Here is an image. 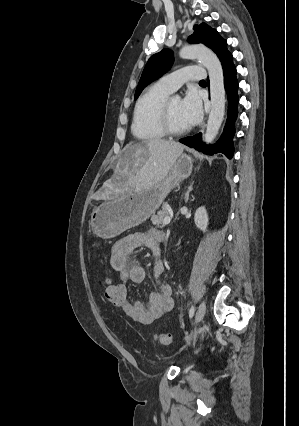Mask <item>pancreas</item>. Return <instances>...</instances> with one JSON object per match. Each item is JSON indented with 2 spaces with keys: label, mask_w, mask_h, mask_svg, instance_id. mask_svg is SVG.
Listing matches in <instances>:
<instances>
[{
  "label": "pancreas",
  "mask_w": 299,
  "mask_h": 426,
  "mask_svg": "<svg viewBox=\"0 0 299 426\" xmlns=\"http://www.w3.org/2000/svg\"><path fill=\"white\" fill-rule=\"evenodd\" d=\"M168 215V205L164 203L156 215H153L151 221L154 225L158 227L163 226V220Z\"/></svg>",
  "instance_id": "cf45deb5"
}]
</instances>
